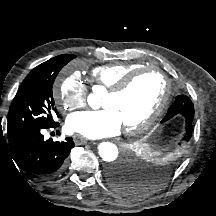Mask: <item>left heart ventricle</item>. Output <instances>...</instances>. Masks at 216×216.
Segmentation results:
<instances>
[{
	"instance_id": "obj_1",
	"label": "left heart ventricle",
	"mask_w": 216,
	"mask_h": 216,
	"mask_svg": "<svg viewBox=\"0 0 216 216\" xmlns=\"http://www.w3.org/2000/svg\"><path fill=\"white\" fill-rule=\"evenodd\" d=\"M163 93L162 77L149 71L138 76L123 94H106L102 106L113 109L122 126L131 127L143 121L158 106Z\"/></svg>"
}]
</instances>
